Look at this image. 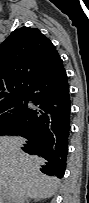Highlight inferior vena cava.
Segmentation results:
<instances>
[{"label":"inferior vena cava","mask_w":89,"mask_h":203,"mask_svg":"<svg viewBox=\"0 0 89 203\" xmlns=\"http://www.w3.org/2000/svg\"><path fill=\"white\" fill-rule=\"evenodd\" d=\"M17 203H25L24 198L21 196L20 199L17 200Z\"/></svg>","instance_id":"602c4592"}]
</instances>
